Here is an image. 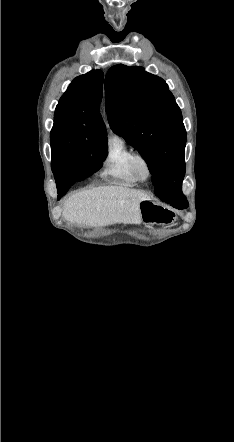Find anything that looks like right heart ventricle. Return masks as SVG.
Listing matches in <instances>:
<instances>
[{
  "instance_id": "1",
  "label": "right heart ventricle",
  "mask_w": 234,
  "mask_h": 442,
  "mask_svg": "<svg viewBox=\"0 0 234 442\" xmlns=\"http://www.w3.org/2000/svg\"><path fill=\"white\" fill-rule=\"evenodd\" d=\"M133 149L121 135L110 137L102 161L101 176L115 183L135 185L138 180L130 167Z\"/></svg>"
}]
</instances>
